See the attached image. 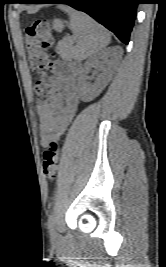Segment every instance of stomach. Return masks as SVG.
Masks as SVG:
<instances>
[{"label": "stomach", "mask_w": 166, "mask_h": 267, "mask_svg": "<svg viewBox=\"0 0 166 267\" xmlns=\"http://www.w3.org/2000/svg\"><path fill=\"white\" fill-rule=\"evenodd\" d=\"M53 28L58 31L61 32L64 28L63 22L59 19H55L53 22Z\"/></svg>", "instance_id": "stomach-1"}]
</instances>
